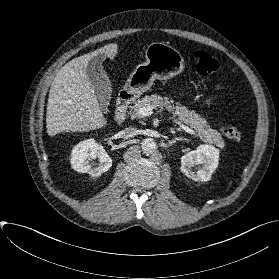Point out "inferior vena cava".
<instances>
[{"instance_id":"1","label":"inferior vena cava","mask_w":279,"mask_h":279,"mask_svg":"<svg viewBox=\"0 0 279 279\" xmlns=\"http://www.w3.org/2000/svg\"><path fill=\"white\" fill-rule=\"evenodd\" d=\"M120 135L123 139H129L137 135V130L133 127H127L124 130L120 131Z\"/></svg>"}]
</instances>
